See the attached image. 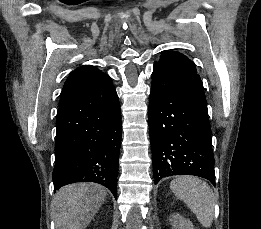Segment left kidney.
<instances>
[{
	"label": "left kidney",
	"instance_id": "obj_1",
	"mask_svg": "<svg viewBox=\"0 0 261 229\" xmlns=\"http://www.w3.org/2000/svg\"><path fill=\"white\" fill-rule=\"evenodd\" d=\"M172 229H194V225L190 219H183L178 213H174L171 219Z\"/></svg>",
	"mask_w": 261,
	"mask_h": 229
}]
</instances>
